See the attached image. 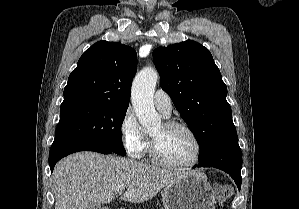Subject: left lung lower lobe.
I'll list each match as a JSON object with an SVG mask.
<instances>
[{
  "instance_id": "left-lung-lower-lobe-1",
  "label": "left lung lower lobe",
  "mask_w": 299,
  "mask_h": 209,
  "mask_svg": "<svg viewBox=\"0 0 299 209\" xmlns=\"http://www.w3.org/2000/svg\"><path fill=\"white\" fill-rule=\"evenodd\" d=\"M197 167H215L227 172L241 187L242 153L237 141V133L230 134L222 139L211 150ZM195 166V167H196Z\"/></svg>"
}]
</instances>
